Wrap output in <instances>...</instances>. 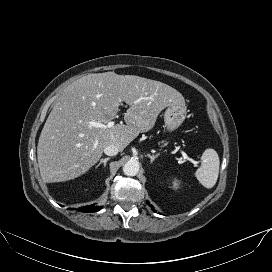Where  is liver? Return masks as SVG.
Instances as JSON below:
<instances>
[{"mask_svg":"<svg viewBox=\"0 0 272 272\" xmlns=\"http://www.w3.org/2000/svg\"><path fill=\"white\" fill-rule=\"evenodd\" d=\"M121 102L129 105L126 125L105 129L89 125L114 119ZM174 104L185 105L180 92L136 75L94 73L74 81L55 103L41 131L37 146L41 178L50 183L79 177L100 159L107 145L123 151L139 133L154 127L163 109Z\"/></svg>","mask_w":272,"mask_h":272,"instance_id":"obj_1","label":"liver"}]
</instances>
